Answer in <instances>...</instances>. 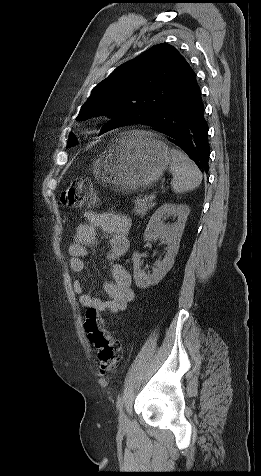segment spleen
<instances>
[{
  "mask_svg": "<svg viewBox=\"0 0 261 476\" xmlns=\"http://www.w3.org/2000/svg\"><path fill=\"white\" fill-rule=\"evenodd\" d=\"M171 164L169 171L173 175L172 189L175 193H184L197 188L202 181V173L196 164L177 149L169 151Z\"/></svg>",
  "mask_w": 261,
  "mask_h": 476,
  "instance_id": "obj_1",
  "label": "spleen"
}]
</instances>
